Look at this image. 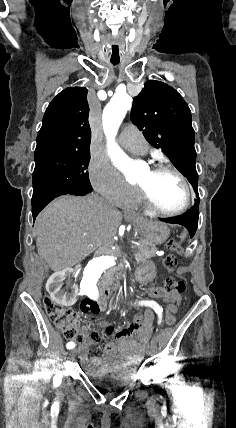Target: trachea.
Masks as SVG:
<instances>
[{
    "label": "trachea",
    "instance_id": "obj_1",
    "mask_svg": "<svg viewBox=\"0 0 236 428\" xmlns=\"http://www.w3.org/2000/svg\"><path fill=\"white\" fill-rule=\"evenodd\" d=\"M110 39L111 40H114L115 39V36L114 35H111L110 36ZM114 44L115 45H118L119 44V41L118 40H115L114 41ZM108 63L109 64H113V65H117V64H120L121 63V59H122V57H123V54H122V52L120 51V49H119V47L118 46H111L110 47V49H109V52H108Z\"/></svg>",
    "mask_w": 236,
    "mask_h": 428
}]
</instances>
